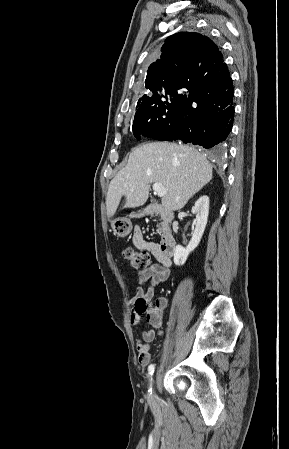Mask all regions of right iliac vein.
<instances>
[{"instance_id": "1", "label": "right iliac vein", "mask_w": 289, "mask_h": 449, "mask_svg": "<svg viewBox=\"0 0 289 449\" xmlns=\"http://www.w3.org/2000/svg\"><path fill=\"white\" fill-rule=\"evenodd\" d=\"M154 383H155V381L153 380L152 384L154 385ZM151 400H152L153 402L156 401V394H155V392L151 393Z\"/></svg>"}]
</instances>
